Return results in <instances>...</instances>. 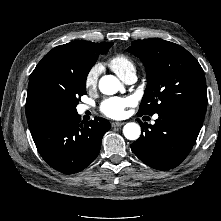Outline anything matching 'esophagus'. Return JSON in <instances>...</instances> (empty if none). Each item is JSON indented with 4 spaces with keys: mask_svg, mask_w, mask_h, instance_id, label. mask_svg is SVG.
<instances>
[{
    "mask_svg": "<svg viewBox=\"0 0 221 221\" xmlns=\"http://www.w3.org/2000/svg\"><path fill=\"white\" fill-rule=\"evenodd\" d=\"M125 123L124 122H112L111 123V126L112 127H120L122 125H124Z\"/></svg>",
    "mask_w": 221,
    "mask_h": 221,
    "instance_id": "34e87169",
    "label": "esophagus"
}]
</instances>
